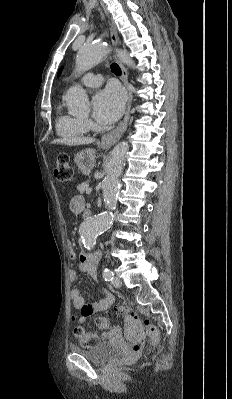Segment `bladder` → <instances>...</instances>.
<instances>
[{
    "mask_svg": "<svg viewBox=\"0 0 232 399\" xmlns=\"http://www.w3.org/2000/svg\"><path fill=\"white\" fill-rule=\"evenodd\" d=\"M70 349L72 352L83 355L90 361L99 364L106 363L121 354L120 347L111 341H101L90 348L71 345Z\"/></svg>",
    "mask_w": 232,
    "mask_h": 399,
    "instance_id": "obj_1",
    "label": "bladder"
}]
</instances>
